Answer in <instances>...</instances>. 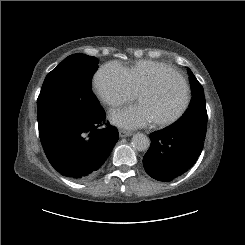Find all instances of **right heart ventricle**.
I'll list each match as a JSON object with an SVG mask.
<instances>
[{
	"label": "right heart ventricle",
	"mask_w": 245,
	"mask_h": 245,
	"mask_svg": "<svg viewBox=\"0 0 245 245\" xmlns=\"http://www.w3.org/2000/svg\"><path fill=\"white\" fill-rule=\"evenodd\" d=\"M169 68L171 67L164 63L141 60L126 70L133 88L138 94L144 87L154 83L159 73Z\"/></svg>",
	"instance_id": "right-heart-ventricle-1"
}]
</instances>
